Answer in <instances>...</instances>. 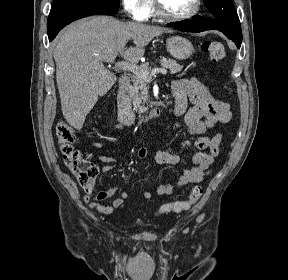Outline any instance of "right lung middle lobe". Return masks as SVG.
Returning <instances> with one entry per match:
<instances>
[{
    "label": "right lung middle lobe",
    "instance_id": "obj_1",
    "mask_svg": "<svg viewBox=\"0 0 288 280\" xmlns=\"http://www.w3.org/2000/svg\"><path fill=\"white\" fill-rule=\"evenodd\" d=\"M81 1H90L102 4L109 7L110 9L118 12L120 0H53L51 10H54L60 6H64L70 3L81 2Z\"/></svg>",
    "mask_w": 288,
    "mask_h": 280
}]
</instances>
